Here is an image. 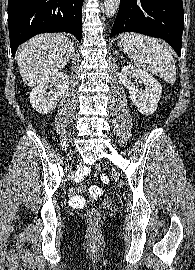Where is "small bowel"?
<instances>
[{
	"mask_svg": "<svg viewBox=\"0 0 195 270\" xmlns=\"http://www.w3.org/2000/svg\"><path fill=\"white\" fill-rule=\"evenodd\" d=\"M91 172V169L87 166H81L77 171V177L83 178ZM101 178L104 182H108V179L105 175H101ZM91 194V200L96 201L102 195V189L99 186H91L89 188ZM69 204L74 208H82L86 205V200L84 197L77 194L76 189H72L69 195Z\"/></svg>",
	"mask_w": 195,
	"mask_h": 270,
	"instance_id": "obj_1",
	"label": "small bowel"
}]
</instances>
